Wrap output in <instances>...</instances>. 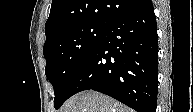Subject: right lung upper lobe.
<instances>
[{"label": "right lung upper lobe", "instance_id": "obj_1", "mask_svg": "<svg viewBox=\"0 0 193 112\" xmlns=\"http://www.w3.org/2000/svg\"><path fill=\"white\" fill-rule=\"evenodd\" d=\"M144 0H53L45 24L46 41L57 32L79 23L109 26Z\"/></svg>", "mask_w": 193, "mask_h": 112}]
</instances>
